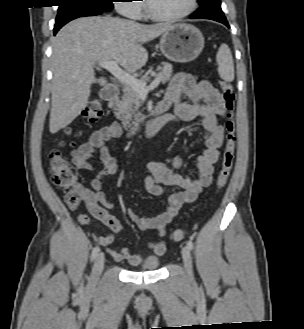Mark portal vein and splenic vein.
<instances>
[{
	"label": "portal vein and splenic vein",
	"instance_id": "portal-vein-and-splenic-vein-1",
	"mask_svg": "<svg viewBox=\"0 0 304 329\" xmlns=\"http://www.w3.org/2000/svg\"><path fill=\"white\" fill-rule=\"evenodd\" d=\"M98 66L109 71L123 84L132 87L140 96H146L150 90L157 87L160 83V78L158 77L147 86L136 77L121 69L115 61H102L98 63Z\"/></svg>",
	"mask_w": 304,
	"mask_h": 329
}]
</instances>
